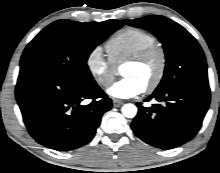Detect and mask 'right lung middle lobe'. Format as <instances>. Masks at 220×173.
<instances>
[{"mask_svg":"<svg viewBox=\"0 0 220 173\" xmlns=\"http://www.w3.org/2000/svg\"><path fill=\"white\" fill-rule=\"evenodd\" d=\"M122 25L119 20L53 22L24 50L20 73H47L74 83L91 82L94 79L86 63L90 53Z\"/></svg>","mask_w":220,"mask_h":173,"instance_id":"dd1d6c3e","label":"right lung middle lobe"}]
</instances>
